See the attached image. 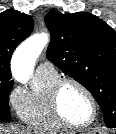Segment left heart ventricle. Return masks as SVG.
Segmentation results:
<instances>
[{
	"label": "left heart ventricle",
	"mask_w": 116,
	"mask_h": 134,
	"mask_svg": "<svg viewBox=\"0 0 116 134\" xmlns=\"http://www.w3.org/2000/svg\"><path fill=\"white\" fill-rule=\"evenodd\" d=\"M64 116L74 123H85L92 115V106L87 95L74 85H66L60 97Z\"/></svg>",
	"instance_id": "left-heart-ventricle-1"
}]
</instances>
